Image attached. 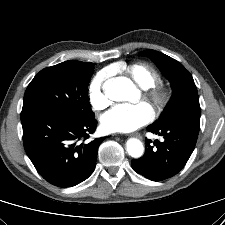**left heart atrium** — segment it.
<instances>
[{
    "label": "left heart atrium",
    "mask_w": 225,
    "mask_h": 225,
    "mask_svg": "<svg viewBox=\"0 0 225 225\" xmlns=\"http://www.w3.org/2000/svg\"><path fill=\"white\" fill-rule=\"evenodd\" d=\"M153 115L151 106L145 102L122 103L105 113L101 123L108 132H131L147 124Z\"/></svg>",
    "instance_id": "39dd6f15"
}]
</instances>
